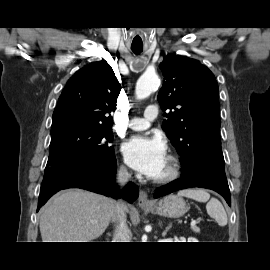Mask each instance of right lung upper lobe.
Wrapping results in <instances>:
<instances>
[{"instance_id": "cb5924a9", "label": "right lung upper lobe", "mask_w": 270, "mask_h": 270, "mask_svg": "<svg viewBox=\"0 0 270 270\" xmlns=\"http://www.w3.org/2000/svg\"><path fill=\"white\" fill-rule=\"evenodd\" d=\"M121 85L105 60L77 71L67 82L53 113L51 127L75 123L112 127Z\"/></svg>"}]
</instances>
